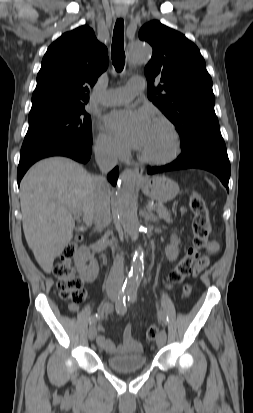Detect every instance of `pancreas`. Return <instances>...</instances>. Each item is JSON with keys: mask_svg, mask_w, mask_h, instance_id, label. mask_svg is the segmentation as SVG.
I'll return each mask as SVG.
<instances>
[{"mask_svg": "<svg viewBox=\"0 0 253 413\" xmlns=\"http://www.w3.org/2000/svg\"><path fill=\"white\" fill-rule=\"evenodd\" d=\"M154 210L156 211L157 216L160 219L165 220L167 223L172 222L171 213L166 209L165 206H163L162 204H155L154 205Z\"/></svg>", "mask_w": 253, "mask_h": 413, "instance_id": "cf45deb5", "label": "pancreas"}]
</instances>
